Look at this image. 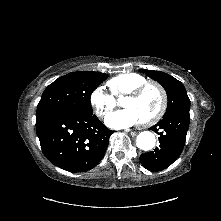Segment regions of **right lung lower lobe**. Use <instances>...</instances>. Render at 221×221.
Here are the masks:
<instances>
[{"label": "right lung lower lobe", "instance_id": "98d812e1", "mask_svg": "<svg viewBox=\"0 0 221 221\" xmlns=\"http://www.w3.org/2000/svg\"><path fill=\"white\" fill-rule=\"evenodd\" d=\"M36 133L45 157L75 173L90 170L101 161L113 131L93 113L64 110L36 120Z\"/></svg>", "mask_w": 221, "mask_h": 221}]
</instances>
